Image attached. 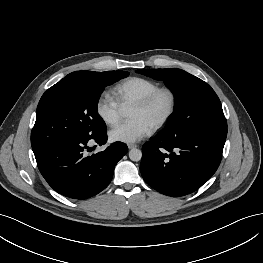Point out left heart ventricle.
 <instances>
[{
	"label": "left heart ventricle",
	"mask_w": 263,
	"mask_h": 263,
	"mask_svg": "<svg viewBox=\"0 0 263 263\" xmlns=\"http://www.w3.org/2000/svg\"><path fill=\"white\" fill-rule=\"evenodd\" d=\"M169 107V98L167 95H161L148 109H139L132 107L130 118H139L148 123L151 127L163 117Z\"/></svg>",
	"instance_id": "1"
}]
</instances>
